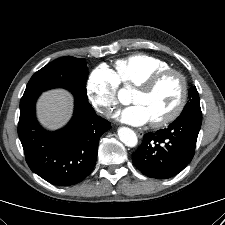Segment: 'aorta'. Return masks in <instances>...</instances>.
I'll list each match as a JSON object with an SVG mask.
<instances>
[{"label":"aorta","mask_w":225,"mask_h":225,"mask_svg":"<svg viewBox=\"0 0 225 225\" xmlns=\"http://www.w3.org/2000/svg\"><path fill=\"white\" fill-rule=\"evenodd\" d=\"M124 96H130V91L128 89H121L119 91V99L122 100ZM118 136L121 142L128 147H135L138 143L135 132L127 127L119 128Z\"/></svg>","instance_id":"1"}]
</instances>
